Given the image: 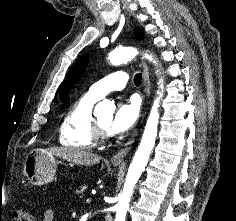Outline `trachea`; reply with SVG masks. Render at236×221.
<instances>
[{"label":"trachea","mask_w":236,"mask_h":221,"mask_svg":"<svg viewBox=\"0 0 236 221\" xmlns=\"http://www.w3.org/2000/svg\"><path fill=\"white\" fill-rule=\"evenodd\" d=\"M141 79H142V75L141 73H138L134 76V84L136 86L140 85L141 84Z\"/></svg>","instance_id":"1"}]
</instances>
